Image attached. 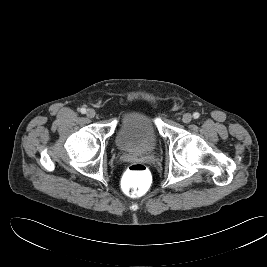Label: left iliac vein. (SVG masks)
<instances>
[{
	"mask_svg": "<svg viewBox=\"0 0 267 267\" xmlns=\"http://www.w3.org/2000/svg\"><path fill=\"white\" fill-rule=\"evenodd\" d=\"M191 120H192V115L189 113L184 114L182 117V121L184 123H189V122H191Z\"/></svg>",
	"mask_w": 267,
	"mask_h": 267,
	"instance_id": "left-iliac-vein-1",
	"label": "left iliac vein"
}]
</instances>
